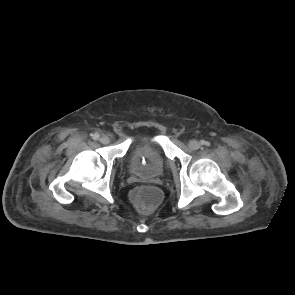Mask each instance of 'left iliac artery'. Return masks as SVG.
<instances>
[{
  "label": "left iliac artery",
  "instance_id": "left-iliac-artery-1",
  "mask_svg": "<svg viewBox=\"0 0 295 295\" xmlns=\"http://www.w3.org/2000/svg\"><path fill=\"white\" fill-rule=\"evenodd\" d=\"M202 144L208 145L209 143L208 142H205V141H202Z\"/></svg>",
  "mask_w": 295,
  "mask_h": 295
}]
</instances>
